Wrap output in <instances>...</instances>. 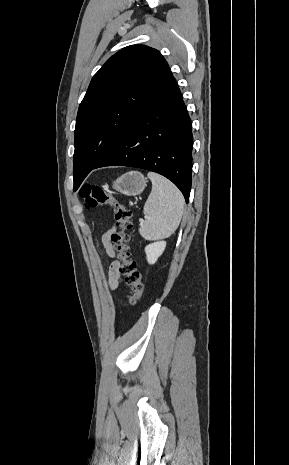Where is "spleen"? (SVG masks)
<instances>
[{
    "label": "spleen",
    "mask_w": 289,
    "mask_h": 465,
    "mask_svg": "<svg viewBox=\"0 0 289 465\" xmlns=\"http://www.w3.org/2000/svg\"><path fill=\"white\" fill-rule=\"evenodd\" d=\"M152 191L144 205L145 221L140 224L139 233L146 240H160L171 236L178 228L184 209V197L168 179L148 173Z\"/></svg>",
    "instance_id": "spleen-1"
}]
</instances>
